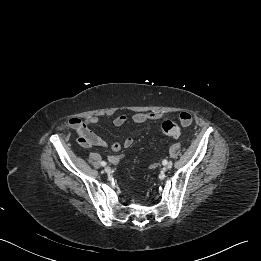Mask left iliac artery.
<instances>
[{
  "instance_id": "left-iliac-artery-1",
  "label": "left iliac artery",
  "mask_w": 261,
  "mask_h": 261,
  "mask_svg": "<svg viewBox=\"0 0 261 261\" xmlns=\"http://www.w3.org/2000/svg\"><path fill=\"white\" fill-rule=\"evenodd\" d=\"M167 164V160H163V165Z\"/></svg>"
}]
</instances>
